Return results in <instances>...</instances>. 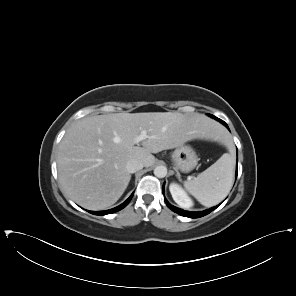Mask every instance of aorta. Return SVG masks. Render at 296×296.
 <instances>
[{
	"label": "aorta",
	"mask_w": 296,
	"mask_h": 296,
	"mask_svg": "<svg viewBox=\"0 0 296 296\" xmlns=\"http://www.w3.org/2000/svg\"><path fill=\"white\" fill-rule=\"evenodd\" d=\"M154 175L158 178H164L167 175L166 166L160 165L154 169Z\"/></svg>",
	"instance_id": "1"
}]
</instances>
